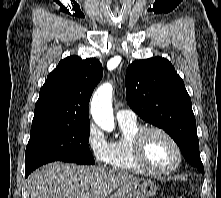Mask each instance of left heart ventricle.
I'll return each mask as SVG.
<instances>
[{
	"label": "left heart ventricle",
	"instance_id": "left-heart-ventricle-1",
	"mask_svg": "<svg viewBox=\"0 0 221 198\" xmlns=\"http://www.w3.org/2000/svg\"><path fill=\"white\" fill-rule=\"evenodd\" d=\"M145 155L147 161L156 168L167 169L177 160L175 148L163 135L150 133L145 141Z\"/></svg>",
	"mask_w": 221,
	"mask_h": 198
}]
</instances>
